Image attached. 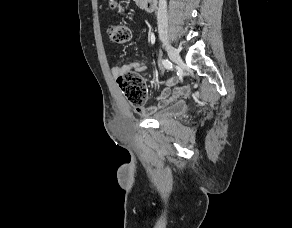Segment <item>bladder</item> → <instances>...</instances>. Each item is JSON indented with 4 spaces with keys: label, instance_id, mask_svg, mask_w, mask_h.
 Here are the masks:
<instances>
[{
    "label": "bladder",
    "instance_id": "1",
    "mask_svg": "<svg viewBox=\"0 0 292 228\" xmlns=\"http://www.w3.org/2000/svg\"><path fill=\"white\" fill-rule=\"evenodd\" d=\"M187 111V105L184 102H178L174 104L170 109L167 111L160 113L155 116V120L163 121L166 119H175L179 118L184 115Z\"/></svg>",
    "mask_w": 292,
    "mask_h": 228
}]
</instances>
